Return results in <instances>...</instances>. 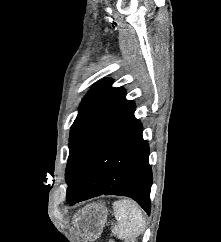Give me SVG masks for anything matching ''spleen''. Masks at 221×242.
Listing matches in <instances>:
<instances>
[{"instance_id":"3e777b00","label":"spleen","mask_w":221,"mask_h":242,"mask_svg":"<svg viewBox=\"0 0 221 242\" xmlns=\"http://www.w3.org/2000/svg\"><path fill=\"white\" fill-rule=\"evenodd\" d=\"M117 225L113 233L119 239H134L145 230V218L138 204L131 199H122L113 204Z\"/></svg>"}]
</instances>
